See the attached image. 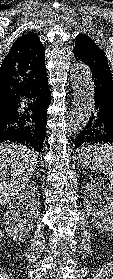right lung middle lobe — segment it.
I'll list each match as a JSON object with an SVG mask.
<instances>
[{"label":"right lung middle lobe","instance_id":"right-lung-middle-lobe-1","mask_svg":"<svg viewBox=\"0 0 113 279\" xmlns=\"http://www.w3.org/2000/svg\"><path fill=\"white\" fill-rule=\"evenodd\" d=\"M12 108L0 110V121L7 119L10 116Z\"/></svg>","mask_w":113,"mask_h":279}]
</instances>
